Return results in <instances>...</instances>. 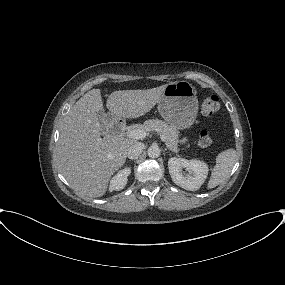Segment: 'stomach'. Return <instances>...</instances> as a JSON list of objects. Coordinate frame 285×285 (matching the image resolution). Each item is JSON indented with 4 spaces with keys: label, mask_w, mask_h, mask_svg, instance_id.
<instances>
[{
    "label": "stomach",
    "mask_w": 285,
    "mask_h": 285,
    "mask_svg": "<svg viewBox=\"0 0 285 285\" xmlns=\"http://www.w3.org/2000/svg\"><path fill=\"white\" fill-rule=\"evenodd\" d=\"M195 87L187 81L167 84L158 111L162 118L177 130L189 128L198 113V99Z\"/></svg>",
    "instance_id": "0dacf381"
}]
</instances>
